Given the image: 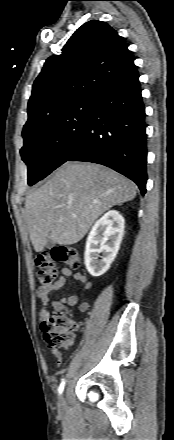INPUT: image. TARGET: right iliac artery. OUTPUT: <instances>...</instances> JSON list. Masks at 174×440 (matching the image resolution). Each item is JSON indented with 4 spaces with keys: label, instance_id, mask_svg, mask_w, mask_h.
Segmentation results:
<instances>
[{
    "label": "right iliac artery",
    "instance_id": "1",
    "mask_svg": "<svg viewBox=\"0 0 174 440\" xmlns=\"http://www.w3.org/2000/svg\"><path fill=\"white\" fill-rule=\"evenodd\" d=\"M64 386H65V381L63 380L59 386V389H58L59 394H61L63 392Z\"/></svg>",
    "mask_w": 174,
    "mask_h": 440
}]
</instances>
